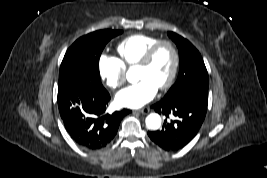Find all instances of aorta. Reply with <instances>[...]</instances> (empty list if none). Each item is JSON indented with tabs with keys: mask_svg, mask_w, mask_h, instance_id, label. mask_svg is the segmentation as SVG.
<instances>
[{
	"mask_svg": "<svg viewBox=\"0 0 267 178\" xmlns=\"http://www.w3.org/2000/svg\"><path fill=\"white\" fill-rule=\"evenodd\" d=\"M146 126L151 130H157L161 126V117L157 113H151L146 117Z\"/></svg>",
	"mask_w": 267,
	"mask_h": 178,
	"instance_id": "obj_1",
	"label": "aorta"
}]
</instances>
